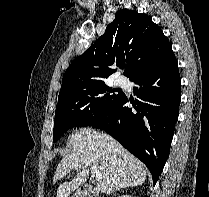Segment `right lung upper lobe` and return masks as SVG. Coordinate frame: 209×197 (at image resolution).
Returning <instances> with one entry per match:
<instances>
[{"instance_id": "1", "label": "right lung upper lobe", "mask_w": 209, "mask_h": 197, "mask_svg": "<svg viewBox=\"0 0 209 197\" xmlns=\"http://www.w3.org/2000/svg\"><path fill=\"white\" fill-rule=\"evenodd\" d=\"M172 52L161 28L146 14L120 10L105 33L78 56L63 75L62 88L81 83L106 81L126 63L125 75L131 80L157 65Z\"/></svg>"}]
</instances>
